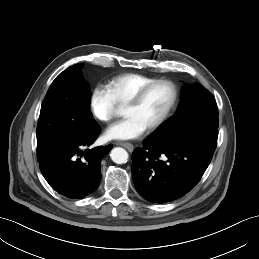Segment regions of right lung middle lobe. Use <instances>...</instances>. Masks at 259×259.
<instances>
[{
    "mask_svg": "<svg viewBox=\"0 0 259 259\" xmlns=\"http://www.w3.org/2000/svg\"><path fill=\"white\" fill-rule=\"evenodd\" d=\"M84 63L67 68L52 82L42 102L37 125V148L56 137L72 136L96 121L89 112L90 88L81 69Z\"/></svg>",
    "mask_w": 259,
    "mask_h": 259,
    "instance_id": "obj_1",
    "label": "right lung middle lobe"
}]
</instances>
